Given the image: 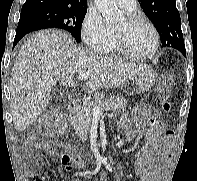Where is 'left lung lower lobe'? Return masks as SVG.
<instances>
[{
	"instance_id": "obj_1",
	"label": "left lung lower lobe",
	"mask_w": 197,
	"mask_h": 181,
	"mask_svg": "<svg viewBox=\"0 0 197 181\" xmlns=\"http://www.w3.org/2000/svg\"><path fill=\"white\" fill-rule=\"evenodd\" d=\"M181 53H182L184 56L186 55V51H182Z\"/></svg>"
}]
</instances>
